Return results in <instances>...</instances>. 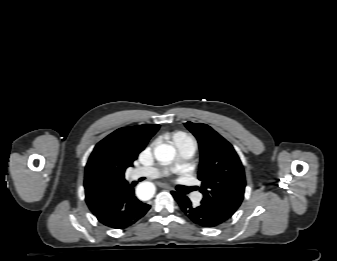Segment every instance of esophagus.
<instances>
[{"label":"esophagus","mask_w":337,"mask_h":261,"mask_svg":"<svg viewBox=\"0 0 337 261\" xmlns=\"http://www.w3.org/2000/svg\"><path fill=\"white\" fill-rule=\"evenodd\" d=\"M159 186H160L161 188L171 190V187L168 186V185H166V184L161 183V184H159Z\"/></svg>","instance_id":"34e87169"}]
</instances>
